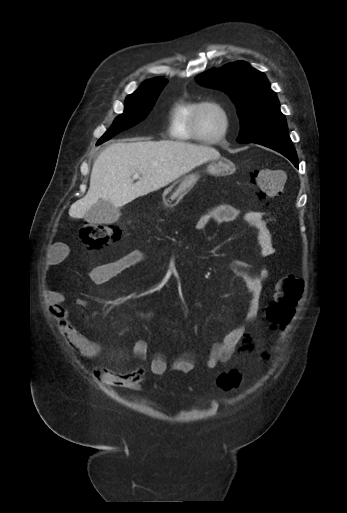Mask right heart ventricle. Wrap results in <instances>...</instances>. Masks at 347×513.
<instances>
[{
  "label": "right heart ventricle",
  "mask_w": 347,
  "mask_h": 513,
  "mask_svg": "<svg viewBox=\"0 0 347 513\" xmlns=\"http://www.w3.org/2000/svg\"><path fill=\"white\" fill-rule=\"evenodd\" d=\"M201 101L191 98H181L173 105L170 121L169 135L176 141L203 143L191 130L193 113Z\"/></svg>",
  "instance_id": "obj_1"
}]
</instances>
